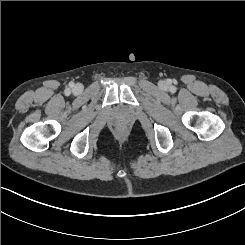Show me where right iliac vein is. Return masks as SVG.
<instances>
[{
  "label": "right iliac vein",
  "instance_id": "63e3f726",
  "mask_svg": "<svg viewBox=\"0 0 245 245\" xmlns=\"http://www.w3.org/2000/svg\"><path fill=\"white\" fill-rule=\"evenodd\" d=\"M83 86L81 84H77L73 88L74 94H80L82 92Z\"/></svg>",
  "mask_w": 245,
  "mask_h": 245
}]
</instances>
